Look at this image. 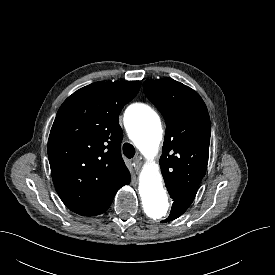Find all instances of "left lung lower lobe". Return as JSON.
Instances as JSON below:
<instances>
[{
  "mask_svg": "<svg viewBox=\"0 0 275 275\" xmlns=\"http://www.w3.org/2000/svg\"><path fill=\"white\" fill-rule=\"evenodd\" d=\"M173 199L170 216L163 222L174 220L181 216L191 205L195 198L196 192L188 190H168Z\"/></svg>",
  "mask_w": 275,
  "mask_h": 275,
  "instance_id": "0a47b994",
  "label": "left lung lower lobe"
}]
</instances>
